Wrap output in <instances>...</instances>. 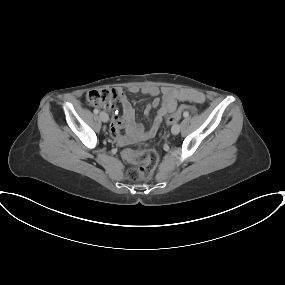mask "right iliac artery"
Segmentation results:
<instances>
[{
  "label": "right iliac artery",
  "mask_w": 285,
  "mask_h": 285,
  "mask_svg": "<svg viewBox=\"0 0 285 285\" xmlns=\"http://www.w3.org/2000/svg\"><path fill=\"white\" fill-rule=\"evenodd\" d=\"M94 113H95V114H98V113H99V110H98V109H94Z\"/></svg>",
  "instance_id": "obj_1"
}]
</instances>
